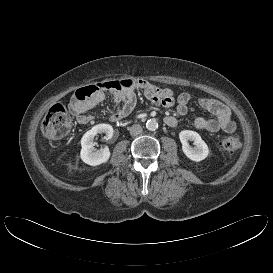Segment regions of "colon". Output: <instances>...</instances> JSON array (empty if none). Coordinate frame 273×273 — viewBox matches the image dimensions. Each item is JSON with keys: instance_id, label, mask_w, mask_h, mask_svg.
<instances>
[{"instance_id": "obj_1", "label": "colon", "mask_w": 273, "mask_h": 273, "mask_svg": "<svg viewBox=\"0 0 273 273\" xmlns=\"http://www.w3.org/2000/svg\"><path fill=\"white\" fill-rule=\"evenodd\" d=\"M132 85L131 80H117L105 82L97 85H89L79 88L73 97L75 101H85L91 98L101 89L118 90L129 88ZM72 127V119L66 107L61 103H56L50 107L42 120V133L48 140H59L67 136ZM220 146L228 151L234 152L241 147V141L237 137H224L220 141Z\"/></svg>"}]
</instances>
